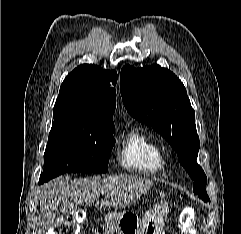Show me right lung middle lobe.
Segmentation results:
<instances>
[{
  "label": "right lung middle lobe",
  "instance_id": "dd1d6c3e",
  "mask_svg": "<svg viewBox=\"0 0 241 234\" xmlns=\"http://www.w3.org/2000/svg\"><path fill=\"white\" fill-rule=\"evenodd\" d=\"M53 118L39 182L66 172H107L115 127L82 125L68 113H53Z\"/></svg>",
  "mask_w": 241,
  "mask_h": 234
}]
</instances>
